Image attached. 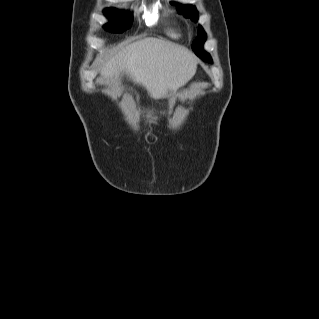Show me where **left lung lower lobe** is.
Listing matches in <instances>:
<instances>
[{
  "instance_id": "0a47b994",
  "label": "left lung lower lobe",
  "mask_w": 319,
  "mask_h": 319,
  "mask_svg": "<svg viewBox=\"0 0 319 319\" xmlns=\"http://www.w3.org/2000/svg\"><path fill=\"white\" fill-rule=\"evenodd\" d=\"M197 55V54H196ZM198 56L201 58V59H203L204 61H206L207 60V57L205 56V55H203V54H198Z\"/></svg>"
}]
</instances>
